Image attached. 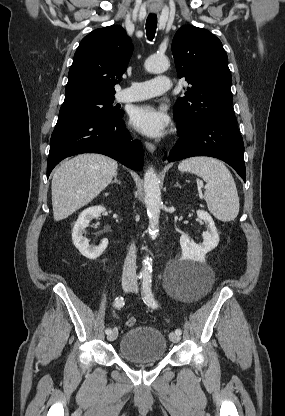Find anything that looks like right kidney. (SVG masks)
<instances>
[{"mask_svg": "<svg viewBox=\"0 0 285 416\" xmlns=\"http://www.w3.org/2000/svg\"><path fill=\"white\" fill-rule=\"evenodd\" d=\"M102 212H105L103 206H92V208L83 210L80 216H78V220L75 222L72 230V240L75 248L79 250L82 256L88 258V260H97L108 246L107 238H103L99 246H90L89 240L83 236V234H85V228H88L90 224V220L99 218Z\"/></svg>", "mask_w": 285, "mask_h": 416, "instance_id": "right-kidney-1", "label": "right kidney"}]
</instances>
